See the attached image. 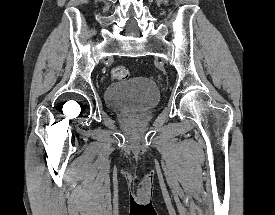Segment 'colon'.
Here are the masks:
<instances>
[{"label":"colon","instance_id":"obj_1","mask_svg":"<svg viewBox=\"0 0 275 215\" xmlns=\"http://www.w3.org/2000/svg\"><path fill=\"white\" fill-rule=\"evenodd\" d=\"M111 76L115 80H126L129 77V71L124 66H114L111 69Z\"/></svg>","mask_w":275,"mask_h":215}]
</instances>
